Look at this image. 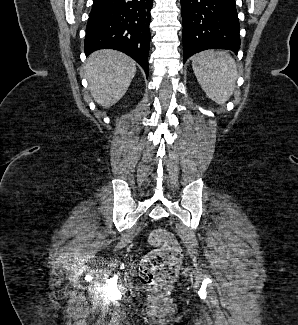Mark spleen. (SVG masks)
I'll use <instances>...</instances> for the list:
<instances>
[{
	"label": "spleen",
	"instance_id": "obj_1",
	"mask_svg": "<svg viewBox=\"0 0 298 325\" xmlns=\"http://www.w3.org/2000/svg\"><path fill=\"white\" fill-rule=\"evenodd\" d=\"M194 74L204 92L217 104H225L233 94L238 70L226 50H204L192 58Z\"/></svg>",
	"mask_w": 298,
	"mask_h": 325
}]
</instances>
